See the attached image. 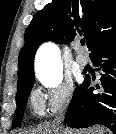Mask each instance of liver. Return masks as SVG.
I'll return each instance as SVG.
<instances>
[{"label":"liver","mask_w":116,"mask_h":134,"mask_svg":"<svg viewBox=\"0 0 116 134\" xmlns=\"http://www.w3.org/2000/svg\"><path fill=\"white\" fill-rule=\"evenodd\" d=\"M104 132V128L99 127L95 130L89 131L88 134H104ZM22 134H74V131L69 129H58L55 126H45Z\"/></svg>","instance_id":"1"}]
</instances>
